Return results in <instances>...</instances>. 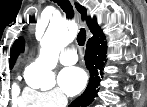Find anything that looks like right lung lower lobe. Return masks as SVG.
I'll list each match as a JSON object with an SVG mask.
<instances>
[{"mask_svg":"<svg viewBox=\"0 0 147 107\" xmlns=\"http://www.w3.org/2000/svg\"><path fill=\"white\" fill-rule=\"evenodd\" d=\"M106 51L107 46L104 36L87 42L85 62L90 72V81L84 93L75 99L69 107H86L97 96L99 82L103 77L102 69L106 62Z\"/></svg>","mask_w":147,"mask_h":107,"instance_id":"98d812e1","label":"right lung lower lobe"}]
</instances>
